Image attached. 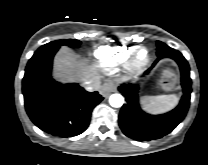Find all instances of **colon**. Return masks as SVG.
Segmentation results:
<instances>
[{"label":"colon","instance_id":"1","mask_svg":"<svg viewBox=\"0 0 208 165\" xmlns=\"http://www.w3.org/2000/svg\"><path fill=\"white\" fill-rule=\"evenodd\" d=\"M175 75L170 72L166 71L161 80V86L165 90H171L175 85Z\"/></svg>","mask_w":208,"mask_h":165}]
</instances>
